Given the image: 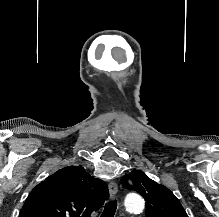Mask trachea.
Wrapping results in <instances>:
<instances>
[{"label":"trachea","instance_id":"obj_1","mask_svg":"<svg viewBox=\"0 0 219 217\" xmlns=\"http://www.w3.org/2000/svg\"><path fill=\"white\" fill-rule=\"evenodd\" d=\"M116 209H117L116 200L114 202L107 203L104 207V211L101 214V217H114Z\"/></svg>","mask_w":219,"mask_h":217}]
</instances>
